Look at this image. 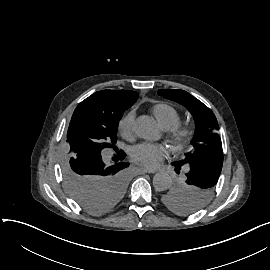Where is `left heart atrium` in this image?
I'll return each mask as SVG.
<instances>
[{
  "instance_id": "39dd6f15",
  "label": "left heart atrium",
  "mask_w": 270,
  "mask_h": 270,
  "mask_svg": "<svg viewBox=\"0 0 270 270\" xmlns=\"http://www.w3.org/2000/svg\"><path fill=\"white\" fill-rule=\"evenodd\" d=\"M167 150L163 146L153 144H142L133 152V159L144 168L154 169L165 157Z\"/></svg>"
}]
</instances>
